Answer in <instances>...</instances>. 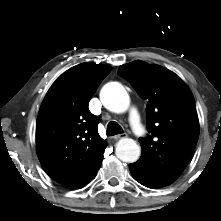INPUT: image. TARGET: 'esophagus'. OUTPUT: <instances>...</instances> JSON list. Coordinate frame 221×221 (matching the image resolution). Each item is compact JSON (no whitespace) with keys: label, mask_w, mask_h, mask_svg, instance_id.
<instances>
[{"label":"esophagus","mask_w":221,"mask_h":221,"mask_svg":"<svg viewBox=\"0 0 221 221\" xmlns=\"http://www.w3.org/2000/svg\"><path fill=\"white\" fill-rule=\"evenodd\" d=\"M126 137H128V135L126 133H123V134H119V135L114 136V139L118 140V139H123Z\"/></svg>","instance_id":"34e87169"}]
</instances>
